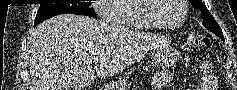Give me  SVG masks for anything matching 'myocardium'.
<instances>
[{"mask_svg": "<svg viewBox=\"0 0 237 90\" xmlns=\"http://www.w3.org/2000/svg\"><path fill=\"white\" fill-rule=\"evenodd\" d=\"M152 3H154V0H140V3H138V7L142 9V18L149 26L160 30H174L183 23L187 10V7L184 3H188V0L175 1V3H177L180 7V16L178 21L172 25L159 24L156 20L153 19L151 12L152 9H155V5H152Z\"/></svg>", "mask_w": 237, "mask_h": 90, "instance_id": "f54148a6", "label": "myocardium"}]
</instances>
